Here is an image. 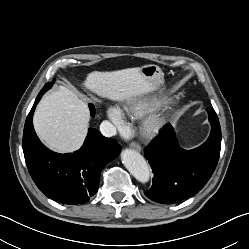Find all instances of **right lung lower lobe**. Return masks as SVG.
Listing matches in <instances>:
<instances>
[{
  "label": "right lung lower lobe",
  "instance_id": "right-lung-lower-lobe-1",
  "mask_svg": "<svg viewBox=\"0 0 249 249\" xmlns=\"http://www.w3.org/2000/svg\"><path fill=\"white\" fill-rule=\"evenodd\" d=\"M42 95L37 96L24 126L23 152L29 173L49 198L70 205L85 203L97 192L102 169L119 155L121 146L89 128L78 151L59 154L49 150L37 137L32 122Z\"/></svg>",
  "mask_w": 249,
  "mask_h": 249
}]
</instances>
